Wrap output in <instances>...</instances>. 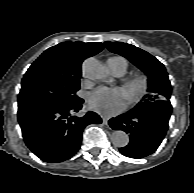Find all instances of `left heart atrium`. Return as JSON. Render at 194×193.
<instances>
[{"label":"left heart atrium","instance_id":"left-heart-atrium-1","mask_svg":"<svg viewBox=\"0 0 194 193\" xmlns=\"http://www.w3.org/2000/svg\"><path fill=\"white\" fill-rule=\"evenodd\" d=\"M126 103V92L118 87H99L89 97V107L106 116L119 113L125 108Z\"/></svg>","mask_w":194,"mask_h":193}]
</instances>
